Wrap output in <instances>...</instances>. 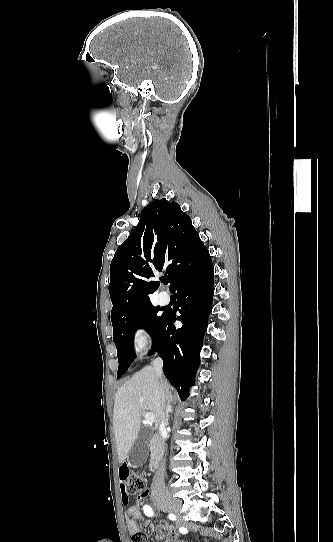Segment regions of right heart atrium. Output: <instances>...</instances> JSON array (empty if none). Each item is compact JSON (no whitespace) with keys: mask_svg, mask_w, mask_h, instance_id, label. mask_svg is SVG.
<instances>
[{"mask_svg":"<svg viewBox=\"0 0 333 542\" xmlns=\"http://www.w3.org/2000/svg\"><path fill=\"white\" fill-rule=\"evenodd\" d=\"M135 339L141 351H146L151 339L149 331L144 327H139L135 332Z\"/></svg>","mask_w":333,"mask_h":542,"instance_id":"obj_1","label":"right heart atrium"}]
</instances>
